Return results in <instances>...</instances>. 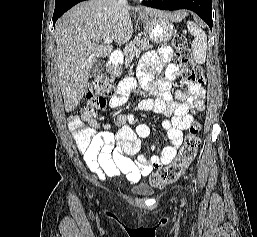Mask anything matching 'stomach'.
Here are the masks:
<instances>
[{
    "label": "stomach",
    "mask_w": 257,
    "mask_h": 237,
    "mask_svg": "<svg viewBox=\"0 0 257 237\" xmlns=\"http://www.w3.org/2000/svg\"><path fill=\"white\" fill-rule=\"evenodd\" d=\"M145 34L155 43H165L174 35V27L169 19L159 14L140 15Z\"/></svg>",
    "instance_id": "obj_1"
}]
</instances>
